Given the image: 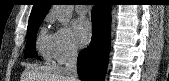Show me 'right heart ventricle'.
<instances>
[{"label": "right heart ventricle", "mask_w": 169, "mask_h": 81, "mask_svg": "<svg viewBox=\"0 0 169 81\" xmlns=\"http://www.w3.org/2000/svg\"><path fill=\"white\" fill-rule=\"evenodd\" d=\"M37 49L46 60H50L52 57L50 50V37L46 34L44 29H42L39 33L37 39Z\"/></svg>", "instance_id": "obj_1"}]
</instances>
